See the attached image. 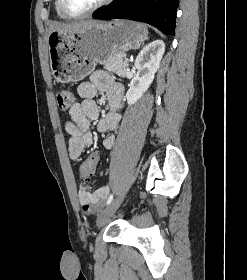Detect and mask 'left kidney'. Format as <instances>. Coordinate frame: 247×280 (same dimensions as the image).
Segmentation results:
<instances>
[{
    "instance_id": "1",
    "label": "left kidney",
    "mask_w": 247,
    "mask_h": 280,
    "mask_svg": "<svg viewBox=\"0 0 247 280\" xmlns=\"http://www.w3.org/2000/svg\"><path fill=\"white\" fill-rule=\"evenodd\" d=\"M164 52L165 43L162 40H155L138 54L134 63L137 73L131 80L126 93L128 105L135 104L147 91L159 69Z\"/></svg>"
}]
</instances>
